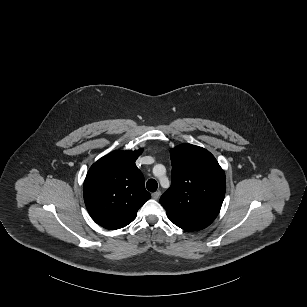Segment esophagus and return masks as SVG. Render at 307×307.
Returning <instances> with one entry per match:
<instances>
[{"mask_svg":"<svg viewBox=\"0 0 307 307\" xmlns=\"http://www.w3.org/2000/svg\"><path fill=\"white\" fill-rule=\"evenodd\" d=\"M161 195V192L160 191H156L154 193H152V198L157 200Z\"/></svg>","mask_w":307,"mask_h":307,"instance_id":"esophagus-1","label":"esophagus"}]
</instances>
